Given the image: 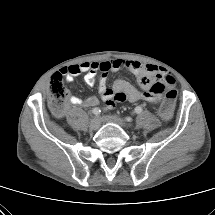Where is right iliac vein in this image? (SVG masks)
<instances>
[{"mask_svg": "<svg viewBox=\"0 0 215 215\" xmlns=\"http://www.w3.org/2000/svg\"><path fill=\"white\" fill-rule=\"evenodd\" d=\"M100 127V120L96 117L92 118L90 121V128L92 130H97Z\"/></svg>", "mask_w": 215, "mask_h": 215, "instance_id": "63e3f726", "label": "right iliac vein"}]
</instances>
